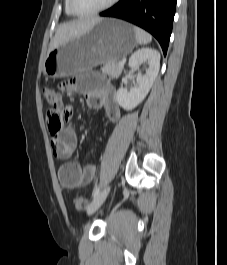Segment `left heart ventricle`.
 <instances>
[{
	"instance_id": "b2bd125f",
	"label": "left heart ventricle",
	"mask_w": 227,
	"mask_h": 265,
	"mask_svg": "<svg viewBox=\"0 0 227 265\" xmlns=\"http://www.w3.org/2000/svg\"><path fill=\"white\" fill-rule=\"evenodd\" d=\"M75 6L79 11L87 12L101 7L109 0H74Z\"/></svg>"
}]
</instances>
